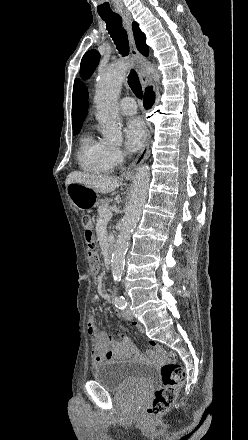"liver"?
Listing matches in <instances>:
<instances>
[{
	"label": "liver",
	"instance_id": "liver-1",
	"mask_svg": "<svg viewBox=\"0 0 248 440\" xmlns=\"http://www.w3.org/2000/svg\"><path fill=\"white\" fill-rule=\"evenodd\" d=\"M71 183L82 184L102 194L112 193L115 195L114 191L119 185V178L74 171L67 176L65 185L68 186Z\"/></svg>",
	"mask_w": 248,
	"mask_h": 440
}]
</instances>
